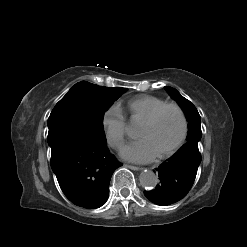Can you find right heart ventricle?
Returning a JSON list of instances; mask_svg holds the SVG:
<instances>
[{
  "mask_svg": "<svg viewBox=\"0 0 247 247\" xmlns=\"http://www.w3.org/2000/svg\"><path fill=\"white\" fill-rule=\"evenodd\" d=\"M167 102L159 97L152 95H140L130 100L127 104L129 119L134 123H142L156 109Z\"/></svg>",
  "mask_w": 247,
  "mask_h": 247,
  "instance_id": "obj_1",
  "label": "right heart ventricle"
}]
</instances>
